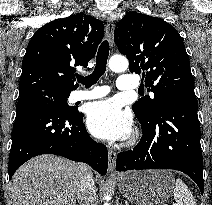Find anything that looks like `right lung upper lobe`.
Here are the masks:
<instances>
[{
  "instance_id": "1",
  "label": "right lung upper lobe",
  "mask_w": 212,
  "mask_h": 205,
  "mask_svg": "<svg viewBox=\"0 0 212 205\" xmlns=\"http://www.w3.org/2000/svg\"><path fill=\"white\" fill-rule=\"evenodd\" d=\"M104 36L100 20L76 14L47 23L31 38L23 58L19 96L76 89L75 66L87 68Z\"/></svg>"
}]
</instances>
